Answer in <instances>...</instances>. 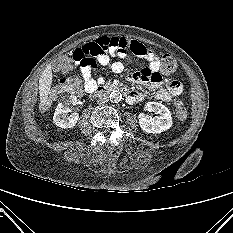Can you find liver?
Masks as SVG:
<instances>
[{
  "label": "liver",
  "instance_id": "liver-1",
  "mask_svg": "<svg viewBox=\"0 0 233 233\" xmlns=\"http://www.w3.org/2000/svg\"><path fill=\"white\" fill-rule=\"evenodd\" d=\"M52 79L53 75L51 65H48L43 71L39 80V95L41 106H44L47 102L48 94L51 89Z\"/></svg>",
  "mask_w": 233,
  "mask_h": 233
}]
</instances>
